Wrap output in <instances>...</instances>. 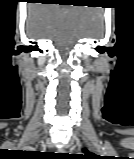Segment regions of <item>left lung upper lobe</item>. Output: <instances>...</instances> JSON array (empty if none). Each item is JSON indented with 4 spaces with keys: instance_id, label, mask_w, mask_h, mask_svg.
Wrapping results in <instances>:
<instances>
[{
    "instance_id": "left-lung-upper-lobe-1",
    "label": "left lung upper lobe",
    "mask_w": 134,
    "mask_h": 159,
    "mask_svg": "<svg viewBox=\"0 0 134 159\" xmlns=\"http://www.w3.org/2000/svg\"><path fill=\"white\" fill-rule=\"evenodd\" d=\"M83 151H84V152H87L86 149H84ZM73 159H100V157L97 156V155H95V154H93V153H87V154H85V155H83V154L75 155V156L73 157Z\"/></svg>"
}]
</instances>
